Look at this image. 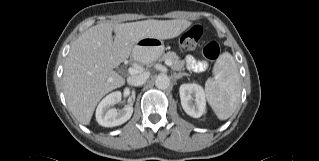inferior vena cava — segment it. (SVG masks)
<instances>
[{"instance_id": "1", "label": "inferior vena cava", "mask_w": 319, "mask_h": 161, "mask_svg": "<svg viewBox=\"0 0 319 161\" xmlns=\"http://www.w3.org/2000/svg\"><path fill=\"white\" fill-rule=\"evenodd\" d=\"M149 78V73L144 72L138 75H132L127 78L128 84L132 86H141L143 85L146 80Z\"/></svg>"}]
</instances>
